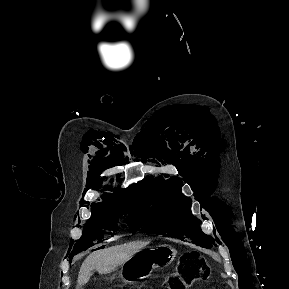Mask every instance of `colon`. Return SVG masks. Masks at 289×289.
Returning <instances> with one entry per match:
<instances>
[{
  "instance_id": "obj_1",
  "label": "colon",
  "mask_w": 289,
  "mask_h": 289,
  "mask_svg": "<svg viewBox=\"0 0 289 289\" xmlns=\"http://www.w3.org/2000/svg\"><path fill=\"white\" fill-rule=\"evenodd\" d=\"M209 273V268L202 261L200 255L196 252H189L184 256L180 268L170 281L175 286L173 289H188L194 284L206 280Z\"/></svg>"
}]
</instances>
